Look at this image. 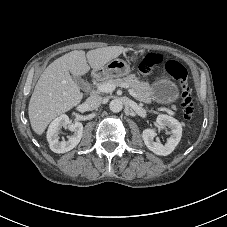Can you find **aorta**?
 <instances>
[{"label":"aorta","mask_w":227,"mask_h":227,"mask_svg":"<svg viewBox=\"0 0 227 227\" xmlns=\"http://www.w3.org/2000/svg\"><path fill=\"white\" fill-rule=\"evenodd\" d=\"M109 108L112 112H120L123 108V103L120 99H114L110 102Z\"/></svg>","instance_id":"762f6f07"}]
</instances>
